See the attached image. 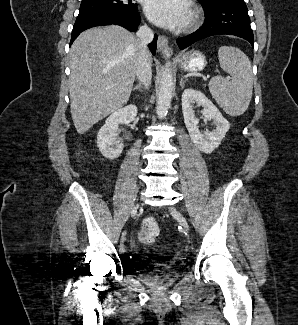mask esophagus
I'll use <instances>...</instances> for the list:
<instances>
[{"instance_id": "34e87169", "label": "esophagus", "mask_w": 298, "mask_h": 325, "mask_svg": "<svg viewBox=\"0 0 298 325\" xmlns=\"http://www.w3.org/2000/svg\"><path fill=\"white\" fill-rule=\"evenodd\" d=\"M157 48L163 57H171L173 54L172 48L169 47L168 39L164 35H159Z\"/></svg>"}]
</instances>
